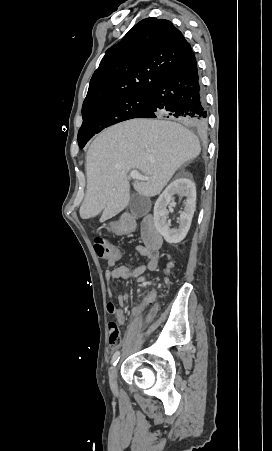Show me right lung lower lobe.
Masks as SVG:
<instances>
[{
    "label": "right lung lower lobe",
    "mask_w": 272,
    "mask_h": 451,
    "mask_svg": "<svg viewBox=\"0 0 272 451\" xmlns=\"http://www.w3.org/2000/svg\"><path fill=\"white\" fill-rule=\"evenodd\" d=\"M207 116L193 54L150 92L147 108L137 118L177 119L204 132Z\"/></svg>",
    "instance_id": "98d812e1"
}]
</instances>
